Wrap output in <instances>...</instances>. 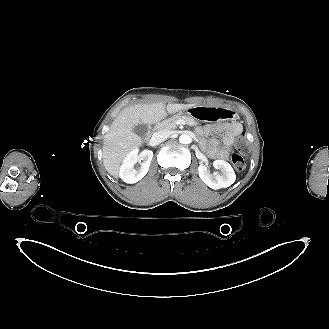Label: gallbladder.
<instances>
[{
    "mask_svg": "<svg viewBox=\"0 0 329 329\" xmlns=\"http://www.w3.org/2000/svg\"><path fill=\"white\" fill-rule=\"evenodd\" d=\"M134 133H136L140 137H145L147 131H148V126L146 124H138L133 128Z\"/></svg>",
    "mask_w": 329,
    "mask_h": 329,
    "instance_id": "bac80fb5",
    "label": "gallbladder"
}]
</instances>
